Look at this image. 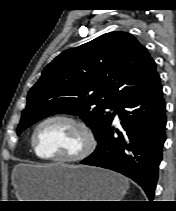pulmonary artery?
I'll return each instance as SVG.
<instances>
[{
	"label": "pulmonary artery",
	"instance_id": "e3ab8cb5",
	"mask_svg": "<svg viewBox=\"0 0 176 211\" xmlns=\"http://www.w3.org/2000/svg\"><path fill=\"white\" fill-rule=\"evenodd\" d=\"M115 121H116V122L119 121V117H118V114H117V113L115 114Z\"/></svg>",
	"mask_w": 176,
	"mask_h": 211
}]
</instances>
